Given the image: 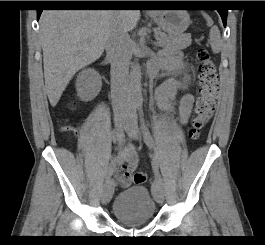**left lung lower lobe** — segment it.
<instances>
[{
	"instance_id": "left-lung-lower-lobe-1",
	"label": "left lung lower lobe",
	"mask_w": 265,
	"mask_h": 245,
	"mask_svg": "<svg viewBox=\"0 0 265 245\" xmlns=\"http://www.w3.org/2000/svg\"><path fill=\"white\" fill-rule=\"evenodd\" d=\"M153 5H158V6H178L182 4V1H153ZM224 26H226V21H227V10L226 9H220L218 10Z\"/></svg>"
}]
</instances>
